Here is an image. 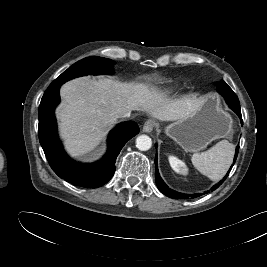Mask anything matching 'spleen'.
<instances>
[{
	"label": "spleen",
	"mask_w": 267,
	"mask_h": 267,
	"mask_svg": "<svg viewBox=\"0 0 267 267\" xmlns=\"http://www.w3.org/2000/svg\"><path fill=\"white\" fill-rule=\"evenodd\" d=\"M234 145L227 140H222L202 153H194L191 157L194 167L212 181L224 177L232 164Z\"/></svg>",
	"instance_id": "1"
}]
</instances>
